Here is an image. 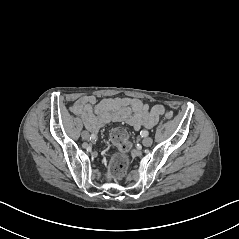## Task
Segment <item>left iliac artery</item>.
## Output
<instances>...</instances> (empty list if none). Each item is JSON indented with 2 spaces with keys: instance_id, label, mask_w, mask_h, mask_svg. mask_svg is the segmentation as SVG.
<instances>
[{
  "instance_id": "obj_1",
  "label": "left iliac artery",
  "mask_w": 239,
  "mask_h": 239,
  "mask_svg": "<svg viewBox=\"0 0 239 239\" xmlns=\"http://www.w3.org/2000/svg\"><path fill=\"white\" fill-rule=\"evenodd\" d=\"M140 135H141L142 137H146V136L149 135V133H148V131H146V130H142V131L140 132Z\"/></svg>"
}]
</instances>
